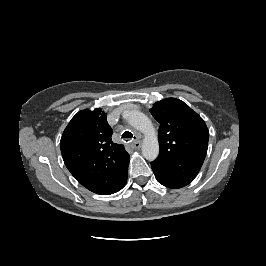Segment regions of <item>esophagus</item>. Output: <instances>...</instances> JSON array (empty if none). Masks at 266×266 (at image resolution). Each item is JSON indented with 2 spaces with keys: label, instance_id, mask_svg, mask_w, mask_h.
Returning a JSON list of instances; mask_svg holds the SVG:
<instances>
[{
  "label": "esophagus",
  "instance_id": "1",
  "mask_svg": "<svg viewBox=\"0 0 266 266\" xmlns=\"http://www.w3.org/2000/svg\"><path fill=\"white\" fill-rule=\"evenodd\" d=\"M132 146L135 149H139L141 147V141H133Z\"/></svg>",
  "mask_w": 266,
  "mask_h": 266
}]
</instances>
